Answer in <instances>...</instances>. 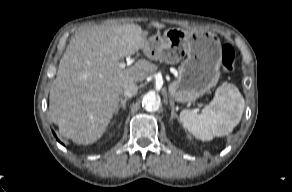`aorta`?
<instances>
[{
	"mask_svg": "<svg viewBox=\"0 0 292 192\" xmlns=\"http://www.w3.org/2000/svg\"><path fill=\"white\" fill-rule=\"evenodd\" d=\"M142 105L147 111H157L160 107V100L154 92H148L142 99Z\"/></svg>",
	"mask_w": 292,
	"mask_h": 192,
	"instance_id": "762f6f07",
	"label": "aorta"
}]
</instances>
